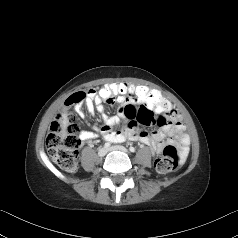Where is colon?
<instances>
[{
    "instance_id": "1",
    "label": "colon",
    "mask_w": 238,
    "mask_h": 238,
    "mask_svg": "<svg viewBox=\"0 0 238 238\" xmlns=\"http://www.w3.org/2000/svg\"><path fill=\"white\" fill-rule=\"evenodd\" d=\"M95 94H98L100 103H117L119 94L127 92L128 86L120 81L117 84L107 86H94ZM134 95L138 99H143L147 95V89L143 85H138L134 89ZM86 93L77 92L71 95L66 103L69 106L82 102ZM146 105H149L153 112L157 109L167 110V105L161 95L153 92L146 97ZM166 113V112H165ZM79 127L76 117L70 112L60 113L50 126L49 134L46 138L48 154L53 162L67 172H75L78 168L77 149L80 144L78 138ZM180 162V155L173 145H167L162 155L155 161V168L159 173H168L175 170Z\"/></svg>"
}]
</instances>
